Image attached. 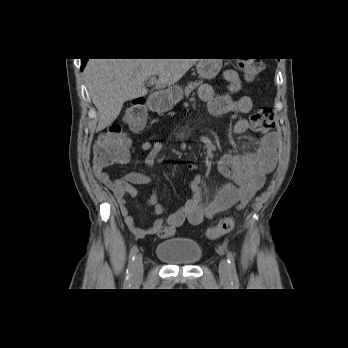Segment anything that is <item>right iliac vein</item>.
I'll use <instances>...</instances> for the list:
<instances>
[{
	"label": "right iliac vein",
	"instance_id": "1",
	"mask_svg": "<svg viewBox=\"0 0 348 348\" xmlns=\"http://www.w3.org/2000/svg\"><path fill=\"white\" fill-rule=\"evenodd\" d=\"M143 276V261L142 257L138 255L133 264L132 280L133 282H139Z\"/></svg>",
	"mask_w": 348,
	"mask_h": 348
}]
</instances>
